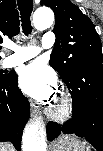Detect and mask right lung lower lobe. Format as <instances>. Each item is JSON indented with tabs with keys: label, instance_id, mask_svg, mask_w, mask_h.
I'll return each mask as SVG.
<instances>
[{
	"label": "right lung lower lobe",
	"instance_id": "right-lung-lower-lobe-1",
	"mask_svg": "<svg viewBox=\"0 0 103 151\" xmlns=\"http://www.w3.org/2000/svg\"><path fill=\"white\" fill-rule=\"evenodd\" d=\"M29 112V102L17 87V75L11 80H0V142L10 141L21 150V136Z\"/></svg>",
	"mask_w": 103,
	"mask_h": 151
}]
</instances>
